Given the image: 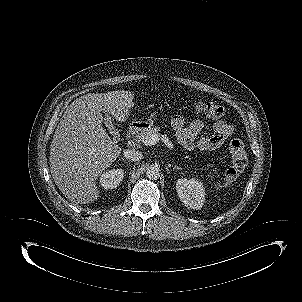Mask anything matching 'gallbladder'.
Masks as SVG:
<instances>
[{
  "mask_svg": "<svg viewBox=\"0 0 302 302\" xmlns=\"http://www.w3.org/2000/svg\"><path fill=\"white\" fill-rule=\"evenodd\" d=\"M104 122H105V125L108 127V129L112 132V131H114V126H113V123H112V119H111V117H110V115L109 114H105L104 115Z\"/></svg>",
  "mask_w": 302,
  "mask_h": 302,
  "instance_id": "1",
  "label": "gallbladder"
}]
</instances>
